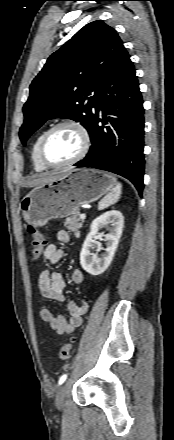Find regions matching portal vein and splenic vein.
<instances>
[{
  "mask_svg": "<svg viewBox=\"0 0 174 440\" xmlns=\"http://www.w3.org/2000/svg\"><path fill=\"white\" fill-rule=\"evenodd\" d=\"M80 219L81 220H85L86 219V215L84 213L80 214Z\"/></svg>",
  "mask_w": 174,
  "mask_h": 440,
  "instance_id": "obj_1",
  "label": "portal vein and splenic vein"
}]
</instances>
